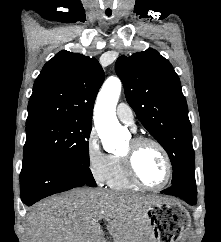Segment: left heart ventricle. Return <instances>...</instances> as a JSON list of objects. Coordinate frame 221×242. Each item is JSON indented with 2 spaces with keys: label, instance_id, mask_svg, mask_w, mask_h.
<instances>
[{
  "label": "left heart ventricle",
  "instance_id": "obj_1",
  "mask_svg": "<svg viewBox=\"0 0 221 242\" xmlns=\"http://www.w3.org/2000/svg\"><path fill=\"white\" fill-rule=\"evenodd\" d=\"M131 148V141L124 151ZM136 169L141 179L148 185H158L166 177V163L162 153L151 144L142 146L135 157Z\"/></svg>",
  "mask_w": 221,
  "mask_h": 242
}]
</instances>
